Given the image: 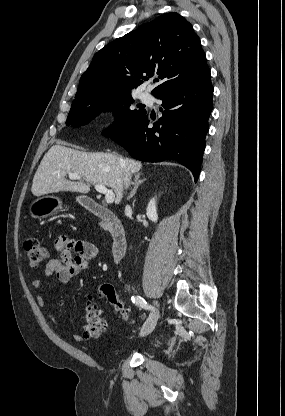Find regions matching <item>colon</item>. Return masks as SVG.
Segmentation results:
<instances>
[{"instance_id":"obj_1","label":"colon","mask_w":285,"mask_h":416,"mask_svg":"<svg viewBox=\"0 0 285 416\" xmlns=\"http://www.w3.org/2000/svg\"><path fill=\"white\" fill-rule=\"evenodd\" d=\"M24 249L31 266L37 267L48 257V252L36 238H29L24 242ZM100 294L107 300L112 308L126 322H130L129 309L118 297L114 287L110 284H102ZM85 326L83 335L86 339H97L106 330L107 322L102 316L101 309L92 301H88L85 307Z\"/></svg>"}]
</instances>
